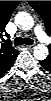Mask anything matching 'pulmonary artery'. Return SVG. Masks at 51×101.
Instances as JSON below:
<instances>
[{
    "instance_id": "obj_1",
    "label": "pulmonary artery",
    "mask_w": 51,
    "mask_h": 101,
    "mask_svg": "<svg viewBox=\"0 0 51 101\" xmlns=\"http://www.w3.org/2000/svg\"><path fill=\"white\" fill-rule=\"evenodd\" d=\"M35 33L37 34L38 38L44 42L48 40V38L45 36V34L42 32L40 27L35 28Z\"/></svg>"
}]
</instances>
